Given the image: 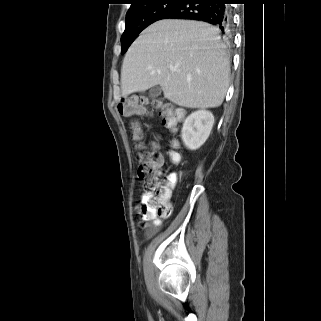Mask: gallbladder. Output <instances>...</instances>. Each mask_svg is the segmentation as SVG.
<instances>
[{"label":"gallbladder","instance_id":"obj_1","mask_svg":"<svg viewBox=\"0 0 321 321\" xmlns=\"http://www.w3.org/2000/svg\"><path fill=\"white\" fill-rule=\"evenodd\" d=\"M161 92H162L161 87L159 85H155L149 90L148 95L151 99H156L161 95Z\"/></svg>","mask_w":321,"mask_h":321}]
</instances>
